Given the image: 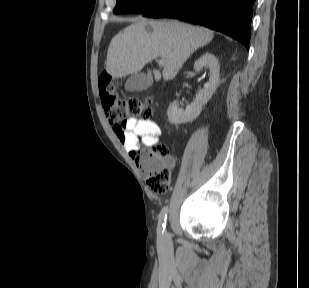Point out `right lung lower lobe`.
Here are the masks:
<instances>
[{
	"label": "right lung lower lobe",
	"mask_w": 309,
	"mask_h": 288,
	"mask_svg": "<svg viewBox=\"0 0 309 288\" xmlns=\"http://www.w3.org/2000/svg\"><path fill=\"white\" fill-rule=\"evenodd\" d=\"M255 0H163L143 16L177 18L220 31L249 49Z\"/></svg>",
	"instance_id": "right-lung-lower-lobe-1"
}]
</instances>
